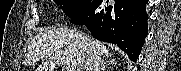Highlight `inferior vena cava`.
<instances>
[{
	"instance_id": "602c4592",
	"label": "inferior vena cava",
	"mask_w": 181,
	"mask_h": 71,
	"mask_svg": "<svg viewBox=\"0 0 181 71\" xmlns=\"http://www.w3.org/2000/svg\"><path fill=\"white\" fill-rule=\"evenodd\" d=\"M101 59L95 51L89 49V59L86 71H99Z\"/></svg>"
}]
</instances>
